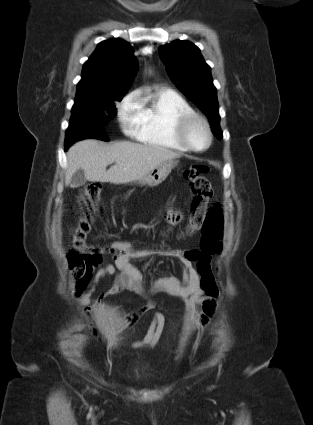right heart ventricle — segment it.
<instances>
[{"instance_id":"right-heart-ventricle-1","label":"right heart ventricle","mask_w":313,"mask_h":425,"mask_svg":"<svg viewBox=\"0 0 313 425\" xmlns=\"http://www.w3.org/2000/svg\"><path fill=\"white\" fill-rule=\"evenodd\" d=\"M193 112L178 93L168 89L154 90L140 100V119L134 136L149 146L186 152L188 149L176 138L175 126L179 116Z\"/></svg>"}]
</instances>
